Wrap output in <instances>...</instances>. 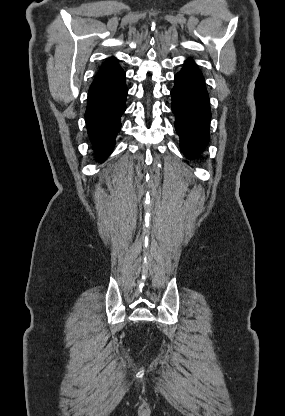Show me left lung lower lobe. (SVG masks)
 Instances as JSON below:
<instances>
[{"label":"left lung lower lobe","mask_w":285,"mask_h":416,"mask_svg":"<svg viewBox=\"0 0 285 416\" xmlns=\"http://www.w3.org/2000/svg\"><path fill=\"white\" fill-rule=\"evenodd\" d=\"M174 78L171 96L175 129L182 152L193 158L205 149L210 139L209 95L204 77L192 59L185 61V66Z\"/></svg>","instance_id":"left-lung-lower-lobe-1"}]
</instances>
